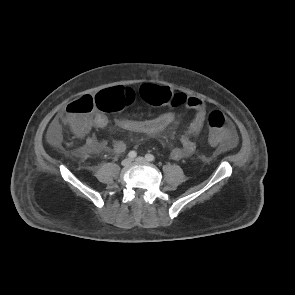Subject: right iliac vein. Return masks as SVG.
I'll use <instances>...</instances> for the list:
<instances>
[{
  "mask_svg": "<svg viewBox=\"0 0 295 295\" xmlns=\"http://www.w3.org/2000/svg\"><path fill=\"white\" fill-rule=\"evenodd\" d=\"M130 163H131V159H130V158H125V159L121 162V164H122L123 166H128Z\"/></svg>",
  "mask_w": 295,
  "mask_h": 295,
  "instance_id": "right-iliac-vein-1",
  "label": "right iliac vein"
}]
</instances>
